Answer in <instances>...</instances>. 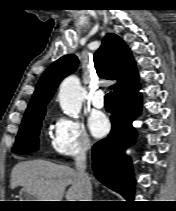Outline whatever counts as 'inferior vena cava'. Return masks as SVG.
Masks as SVG:
<instances>
[{
  "label": "inferior vena cava",
  "instance_id": "obj_1",
  "mask_svg": "<svg viewBox=\"0 0 176 211\" xmlns=\"http://www.w3.org/2000/svg\"><path fill=\"white\" fill-rule=\"evenodd\" d=\"M90 148L89 143H85L75 159L76 170L83 186V199L82 201H91L92 186L90 178L85 172L86 169V154Z\"/></svg>",
  "mask_w": 176,
  "mask_h": 211
}]
</instances>
